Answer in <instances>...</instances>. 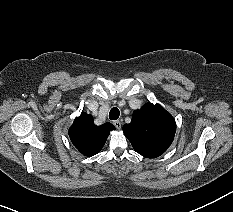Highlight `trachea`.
<instances>
[{"label": "trachea", "instance_id": "3493384b", "mask_svg": "<svg viewBox=\"0 0 233 212\" xmlns=\"http://www.w3.org/2000/svg\"><path fill=\"white\" fill-rule=\"evenodd\" d=\"M119 115H120V111H119V109L116 108V107L112 108V109L110 110V112H109V118H110L111 120H116V119H118V118H119Z\"/></svg>", "mask_w": 233, "mask_h": 212}]
</instances>
